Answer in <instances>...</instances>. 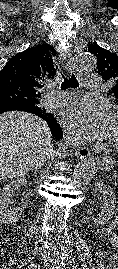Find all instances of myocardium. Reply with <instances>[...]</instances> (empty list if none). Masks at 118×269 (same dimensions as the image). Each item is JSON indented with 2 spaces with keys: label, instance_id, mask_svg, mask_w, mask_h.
<instances>
[{
  "label": "myocardium",
  "instance_id": "f54148a6",
  "mask_svg": "<svg viewBox=\"0 0 118 269\" xmlns=\"http://www.w3.org/2000/svg\"><path fill=\"white\" fill-rule=\"evenodd\" d=\"M113 112H115V113L118 114V107H115L114 110H113ZM109 145L118 149V141H110V144Z\"/></svg>",
  "mask_w": 118,
  "mask_h": 269
}]
</instances>
